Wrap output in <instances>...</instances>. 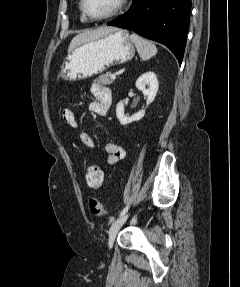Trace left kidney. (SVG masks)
<instances>
[{
  "instance_id": "5707ae66",
  "label": "left kidney",
  "mask_w": 240,
  "mask_h": 287,
  "mask_svg": "<svg viewBox=\"0 0 240 287\" xmlns=\"http://www.w3.org/2000/svg\"><path fill=\"white\" fill-rule=\"evenodd\" d=\"M146 86L148 88L146 89ZM136 87L140 91L143 92L144 96L146 97V106L151 104L157 94L159 83L158 79L154 72L148 71L146 73H143L136 81ZM145 115V109L135 113L132 116H128L124 114V103L123 101H119L116 106V116L120 122L121 125H127L134 121L141 120Z\"/></svg>"
}]
</instances>
